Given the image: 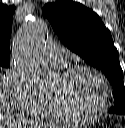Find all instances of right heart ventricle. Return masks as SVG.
<instances>
[{"label": "right heart ventricle", "mask_w": 125, "mask_h": 128, "mask_svg": "<svg viewBox=\"0 0 125 128\" xmlns=\"http://www.w3.org/2000/svg\"><path fill=\"white\" fill-rule=\"evenodd\" d=\"M39 117L51 121L64 120L54 109V106L50 99L46 98L45 102L41 105L36 113Z\"/></svg>", "instance_id": "obj_1"}]
</instances>
